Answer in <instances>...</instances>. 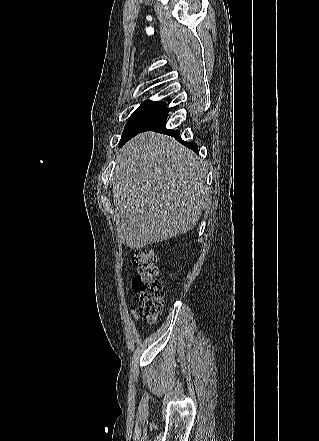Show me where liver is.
<instances>
[{
    "mask_svg": "<svg viewBox=\"0 0 319 441\" xmlns=\"http://www.w3.org/2000/svg\"><path fill=\"white\" fill-rule=\"evenodd\" d=\"M113 198L120 238L131 249L186 233L210 197L205 164L173 137L145 132L117 155Z\"/></svg>",
    "mask_w": 319,
    "mask_h": 441,
    "instance_id": "1",
    "label": "liver"
}]
</instances>
